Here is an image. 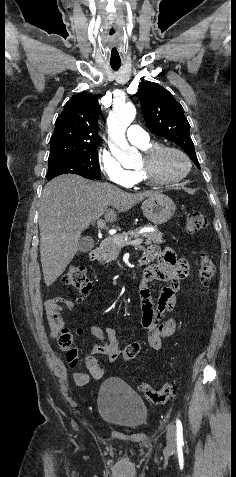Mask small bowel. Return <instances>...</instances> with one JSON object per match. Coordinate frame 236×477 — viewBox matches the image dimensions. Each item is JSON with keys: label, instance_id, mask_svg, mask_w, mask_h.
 I'll return each instance as SVG.
<instances>
[{"label": "small bowel", "instance_id": "c3829d8e", "mask_svg": "<svg viewBox=\"0 0 236 477\" xmlns=\"http://www.w3.org/2000/svg\"><path fill=\"white\" fill-rule=\"evenodd\" d=\"M148 264L156 260L155 264L146 267L143 273V285L140 287L141 325L147 332V342L150 348L158 350L162 347L163 340L171 336L176 328V321L166 315L176 305V295L180 291V280L186 277L189 265L185 259H178L171 248L160 249L151 246L142 257ZM178 263H183L187 268L186 274H180L177 270ZM150 281H162L165 285L161 288L159 296L154 300L150 290L146 286ZM63 306L73 309L75 302L64 296L48 299L44 303V311L50 326L51 337L58 340L60 330L63 328L61 312ZM89 333L99 343L94 345L87 353L85 362L88 373H77L74 380L78 385H84L89 378L102 379L105 368L101 367L95 355H104L108 361L114 363L118 360L122 351L117 338V329L114 326L102 328L92 325L88 328Z\"/></svg>", "mask_w": 236, "mask_h": 477}]
</instances>
